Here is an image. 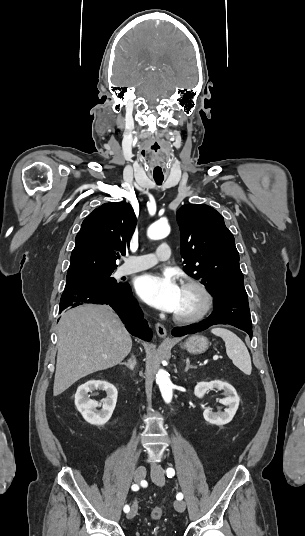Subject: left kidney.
I'll use <instances>...</instances> for the list:
<instances>
[{
	"label": "left kidney",
	"instance_id": "left-kidney-1",
	"mask_svg": "<svg viewBox=\"0 0 305 536\" xmlns=\"http://www.w3.org/2000/svg\"><path fill=\"white\" fill-rule=\"evenodd\" d=\"M212 388L224 390L227 398H223V400H219V402L220 404L227 406V408H225L224 412H217V414L212 412L211 408H206V410L203 412V416L206 422H209V424L224 426V424H229L233 416H235L238 410L240 398L233 386H230V384H227V382H221V380H214V382H199V384H197V386L194 388V394L197 396V398H203L206 392H208V390H212Z\"/></svg>",
	"mask_w": 305,
	"mask_h": 536
}]
</instances>
